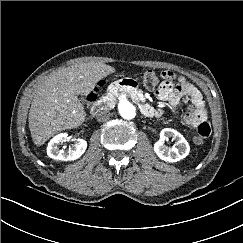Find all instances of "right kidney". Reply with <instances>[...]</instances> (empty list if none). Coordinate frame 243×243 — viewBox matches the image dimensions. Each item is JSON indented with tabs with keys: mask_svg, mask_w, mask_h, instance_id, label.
<instances>
[{
	"mask_svg": "<svg viewBox=\"0 0 243 243\" xmlns=\"http://www.w3.org/2000/svg\"><path fill=\"white\" fill-rule=\"evenodd\" d=\"M67 139V133H60L53 137L48 143L47 155L52 159L62 161L76 160L81 157L87 148V142L84 139H77L68 149H60V145Z\"/></svg>",
	"mask_w": 243,
	"mask_h": 243,
	"instance_id": "ca27d5eb",
	"label": "right kidney"
}]
</instances>
